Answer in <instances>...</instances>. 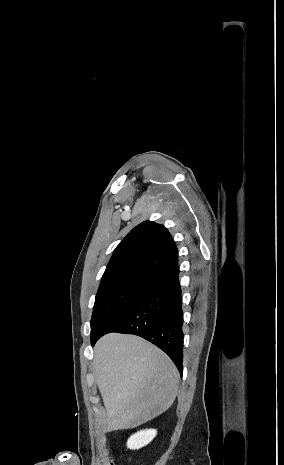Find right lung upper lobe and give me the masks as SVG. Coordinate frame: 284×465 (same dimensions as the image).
I'll use <instances>...</instances> for the list:
<instances>
[{
  "label": "right lung upper lobe",
  "instance_id": "cb5924a9",
  "mask_svg": "<svg viewBox=\"0 0 284 465\" xmlns=\"http://www.w3.org/2000/svg\"><path fill=\"white\" fill-rule=\"evenodd\" d=\"M178 251L168 230L145 221L133 228L114 250L102 280L120 276L157 279L177 267Z\"/></svg>",
  "mask_w": 284,
  "mask_h": 465
}]
</instances>
